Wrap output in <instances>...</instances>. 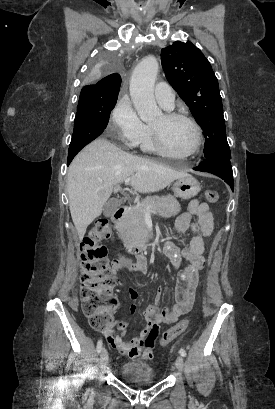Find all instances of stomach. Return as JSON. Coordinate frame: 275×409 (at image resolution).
<instances>
[{"instance_id":"obj_1","label":"stomach","mask_w":275,"mask_h":409,"mask_svg":"<svg viewBox=\"0 0 275 409\" xmlns=\"http://www.w3.org/2000/svg\"><path fill=\"white\" fill-rule=\"evenodd\" d=\"M173 190L175 196H181V198H192V196H196L198 192L201 190V184L191 176V174H187V176H182V178H178L176 182L173 184Z\"/></svg>"}]
</instances>
